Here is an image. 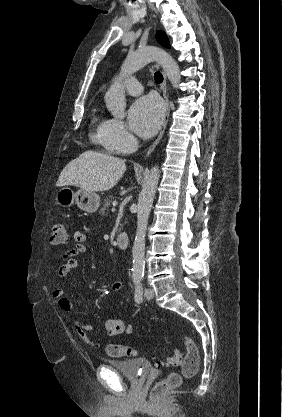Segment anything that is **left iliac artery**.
I'll return each mask as SVG.
<instances>
[{"label": "left iliac artery", "instance_id": "obj_1", "mask_svg": "<svg viewBox=\"0 0 282 417\" xmlns=\"http://www.w3.org/2000/svg\"><path fill=\"white\" fill-rule=\"evenodd\" d=\"M142 294H143V287H142L141 280H139L135 289V294H134V299L137 303H140L142 301Z\"/></svg>", "mask_w": 282, "mask_h": 417}]
</instances>
